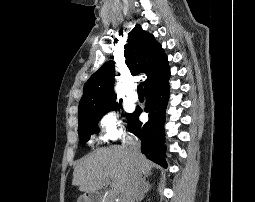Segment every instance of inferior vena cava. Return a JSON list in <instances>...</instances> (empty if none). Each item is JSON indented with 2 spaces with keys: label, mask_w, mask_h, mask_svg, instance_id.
<instances>
[{
  "label": "inferior vena cava",
  "mask_w": 255,
  "mask_h": 202,
  "mask_svg": "<svg viewBox=\"0 0 255 202\" xmlns=\"http://www.w3.org/2000/svg\"><path fill=\"white\" fill-rule=\"evenodd\" d=\"M128 144V151L133 159H137L140 152V142L133 136L126 137ZM145 193V186L140 172L133 170L129 181L124 187L120 195V202H135V200L143 198Z\"/></svg>",
  "instance_id": "1"
}]
</instances>
